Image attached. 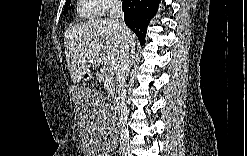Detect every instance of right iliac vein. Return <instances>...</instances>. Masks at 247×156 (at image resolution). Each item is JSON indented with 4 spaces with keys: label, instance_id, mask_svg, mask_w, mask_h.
<instances>
[{
    "label": "right iliac vein",
    "instance_id": "obj_1",
    "mask_svg": "<svg viewBox=\"0 0 247 156\" xmlns=\"http://www.w3.org/2000/svg\"><path fill=\"white\" fill-rule=\"evenodd\" d=\"M122 152L125 156H131L130 148L128 146H122Z\"/></svg>",
    "mask_w": 247,
    "mask_h": 156
}]
</instances>
